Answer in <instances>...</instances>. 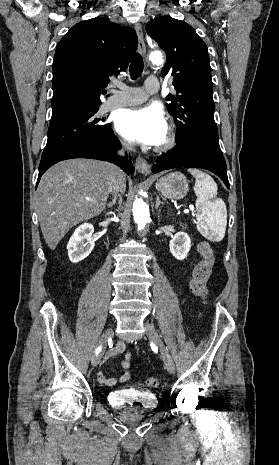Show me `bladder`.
I'll return each instance as SVG.
<instances>
[{
	"label": "bladder",
	"instance_id": "31cf9c89",
	"mask_svg": "<svg viewBox=\"0 0 279 465\" xmlns=\"http://www.w3.org/2000/svg\"><path fill=\"white\" fill-rule=\"evenodd\" d=\"M110 404L121 412L141 413L154 410L158 401L156 396L147 391H130L120 389L108 395Z\"/></svg>",
	"mask_w": 279,
	"mask_h": 465
}]
</instances>
